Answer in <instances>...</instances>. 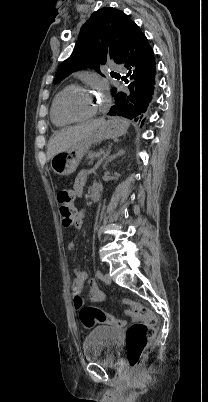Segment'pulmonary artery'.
<instances>
[{
	"label": "pulmonary artery",
	"mask_w": 208,
	"mask_h": 402,
	"mask_svg": "<svg viewBox=\"0 0 208 402\" xmlns=\"http://www.w3.org/2000/svg\"><path fill=\"white\" fill-rule=\"evenodd\" d=\"M109 69L113 71L114 74H119L120 71H123V68L121 65H116V64H112L109 66Z\"/></svg>",
	"instance_id": "e3ab8cb5"
}]
</instances>
